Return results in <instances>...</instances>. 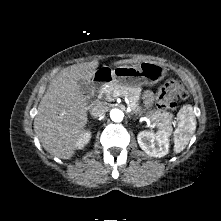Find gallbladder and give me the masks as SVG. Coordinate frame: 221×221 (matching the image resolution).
Returning a JSON list of instances; mask_svg holds the SVG:
<instances>
[{
	"label": "gallbladder",
	"mask_w": 221,
	"mask_h": 221,
	"mask_svg": "<svg viewBox=\"0 0 221 221\" xmlns=\"http://www.w3.org/2000/svg\"><path fill=\"white\" fill-rule=\"evenodd\" d=\"M79 85L81 87L82 92L86 95L89 96L92 91H93V86L91 83L84 81V80H80L79 81Z\"/></svg>",
	"instance_id": "obj_1"
}]
</instances>
